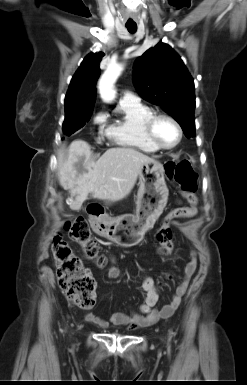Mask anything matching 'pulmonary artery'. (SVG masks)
Instances as JSON below:
<instances>
[{
    "label": "pulmonary artery",
    "mask_w": 247,
    "mask_h": 385,
    "mask_svg": "<svg viewBox=\"0 0 247 385\" xmlns=\"http://www.w3.org/2000/svg\"><path fill=\"white\" fill-rule=\"evenodd\" d=\"M120 102L121 103H136V102H139V98L130 91H124Z\"/></svg>",
    "instance_id": "e3ab8cb5"
}]
</instances>
